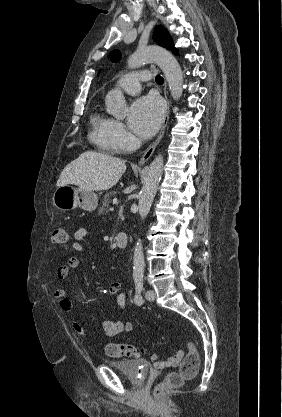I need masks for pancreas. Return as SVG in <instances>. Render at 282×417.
Here are the masks:
<instances>
[{
  "label": "pancreas",
  "instance_id": "1",
  "mask_svg": "<svg viewBox=\"0 0 282 417\" xmlns=\"http://www.w3.org/2000/svg\"><path fill=\"white\" fill-rule=\"evenodd\" d=\"M113 194H116V190H109V192H107V194H105L102 202H103V206H109V202L111 200V198H109V196H113ZM103 206H101L100 211H103Z\"/></svg>",
  "mask_w": 282,
  "mask_h": 417
}]
</instances>
